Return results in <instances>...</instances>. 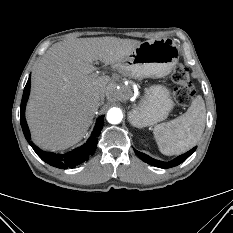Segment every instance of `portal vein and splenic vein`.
I'll list each match as a JSON object with an SVG mask.
<instances>
[{
	"label": "portal vein and splenic vein",
	"mask_w": 233,
	"mask_h": 233,
	"mask_svg": "<svg viewBox=\"0 0 233 233\" xmlns=\"http://www.w3.org/2000/svg\"><path fill=\"white\" fill-rule=\"evenodd\" d=\"M96 76H97V74H94V73L92 74V77H96Z\"/></svg>",
	"instance_id": "portal-vein-and-splenic-vein-1"
}]
</instances>
